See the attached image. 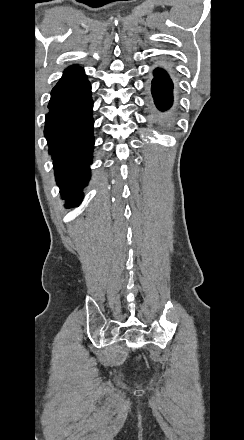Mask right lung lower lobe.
<instances>
[{
	"mask_svg": "<svg viewBox=\"0 0 244 440\" xmlns=\"http://www.w3.org/2000/svg\"><path fill=\"white\" fill-rule=\"evenodd\" d=\"M44 134L54 159L58 185L67 205L82 200L92 162L93 101L83 68L72 66L53 88Z\"/></svg>",
	"mask_w": 244,
	"mask_h": 440,
	"instance_id": "1",
	"label": "right lung lower lobe"
}]
</instances>
